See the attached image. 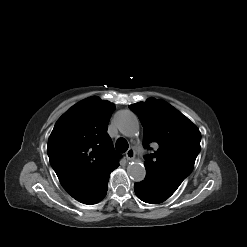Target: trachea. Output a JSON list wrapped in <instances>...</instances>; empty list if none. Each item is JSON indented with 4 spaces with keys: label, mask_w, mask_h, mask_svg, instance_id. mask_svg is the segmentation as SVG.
<instances>
[{
    "label": "trachea",
    "mask_w": 247,
    "mask_h": 247,
    "mask_svg": "<svg viewBox=\"0 0 247 247\" xmlns=\"http://www.w3.org/2000/svg\"><path fill=\"white\" fill-rule=\"evenodd\" d=\"M128 147H129V145H128V142L126 141V139L119 138L116 141V149L118 152L125 153L127 151Z\"/></svg>",
    "instance_id": "trachea-1"
}]
</instances>
